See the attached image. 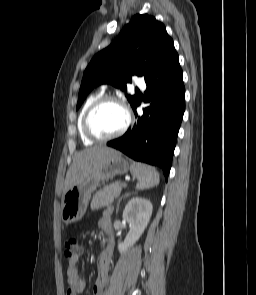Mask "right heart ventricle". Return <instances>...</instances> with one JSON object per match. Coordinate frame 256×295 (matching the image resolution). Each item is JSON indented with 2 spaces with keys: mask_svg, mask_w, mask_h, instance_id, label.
Returning <instances> with one entry per match:
<instances>
[{
  "mask_svg": "<svg viewBox=\"0 0 256 295\" xmlns=\"http://www.w3.org/2000/svg\"><path fill=\"white\" fill-rule=\"evenodd\" d=\"M103 95V92L102 91H99V92H96L92 95H90L81 111H80V114H79V117H78V122H77V126H78V131H79V134H80V137H81V140L82 142L85 144V145H92L94 142L92 140H90L84 133V130H83V118H84V115H85V112L87 111V109L89 108V106L96 100L98 99L99 97H101Z\"/></svg>",
  "mask_w": 256,
  "mask_h": 295,
  "instance_id": "right-heart-ventricle-1",
  "label": "right heart ventricle"
}]
</instances>
